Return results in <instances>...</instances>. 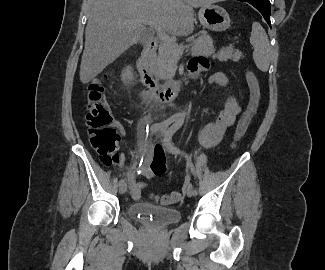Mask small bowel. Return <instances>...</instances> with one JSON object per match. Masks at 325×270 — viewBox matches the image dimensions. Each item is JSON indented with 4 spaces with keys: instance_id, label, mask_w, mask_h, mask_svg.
Here are the masks:
<instances>
[{
    "instance_id": "c3829d8e",
    "label": "small bowel",
    "mask_w": 325,
    "mask_h": 270,
    "mask_svg": "<svg viewBox=\"0 0 325 270\" xmlns=\"http://www.w3.org/2000/svg\"><path fill=\"white\" fill-rule=\"evenodd\" d=\"M209 68V61L203 56L194 57L189 64L190 74L196 76L200 72H204ZM210 83H217L226 85L228 80L222 72H215L209 79ZM241 113V106L234 96H230L226 102L224 110H222L215 121L206 124L199 134L200 142L205 147L215 146L223 137L225 132L233 126L236 118ZM122 135L124 129L118 125ZM166 171V159L164 153L159 149L155 152V159L153 160L150 168H145L142 172L146 178H152L153 175H161ZM129 187L133 198L138 199L141 195L142 189L145 184L135 181L133 175L129 176Z\"/></svg>"
}]
</instances>
